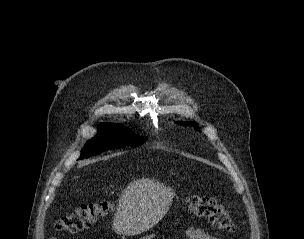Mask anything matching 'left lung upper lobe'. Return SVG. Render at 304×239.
Returning a JSON list of instances; mask_svg holds the SVG:
<instances>
[{"mask_svg": "<svg viewBox=\"0 0 304 239\" xmlns=\"http://www.w3.org/2000/svg\"><path fill=\"white\" fill-rule=\"evenodd\" d=\"M178 124H181V125H191V126H194V128L196 130L199 131V127L197 126V123L196 122H177Z\"/></svg>", "mask_w": 304, "mask_h": 239, "instance_id": "1", "label": "left lung upper lobe"}]
</instances>
